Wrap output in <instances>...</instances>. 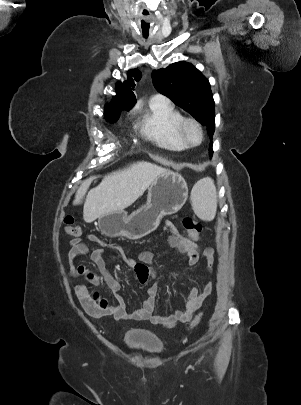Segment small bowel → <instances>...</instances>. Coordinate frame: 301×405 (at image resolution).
Instances as JSON below:
<instances>
[{
    "label": "small bowel",
    "instance_id": "small-bowel-1",
    "mask_svg": "<svg viewBox=\"0 0 301 405\" xmlns=\"http://www.w3.org/2000/svg\"><path fill=\"white\" fill-rule=\"evenodd\" d=\"M165 226L169 231L168 245L182 254L189 265H195L199 261L201 255L206 259L210 266L213 265L214 250L212 248L201 249L198 243L192 241L190 236L185 237L181 235L170 220L165 221ZM85 238L88 241L97 244V248L91 253V258L99 271V275L93 274L86 266L76 263V259L79 256L85 255L89 252L87 245L79 237L72 238L69 242L71 248L69 251L68 272L71 276L82 275L95 285H104L116 299V303L109 306L106 313L108 315H113L116 320H125L128 318L134 320H149L153 324L171 328L178 323L189 321L193 314L201 307L203 301L212 292V282H208L201 289L194 287L191 289L187 297L186 305L183 309H178L170 315H154L153 311L155 308L156 297L159 292V285L158 283H155L149 288V297L144 301L143 305L132 312H128L127 305L119 294L121 288L120 283L107 270L104 257L106 249L119 250V247L115 244L103 241L93 234H88ZM121 258L134 270L137 279L141 284H146L150 278H157V272L149 267L154 258L151 252H140L138 255V261L126 254H121ZM76 294L79 299L83 301L89 294V290L84 285H80L76 287Z\"/></svg>",
    "mask_w": 301,
    "mask_h": 405
}]
</instances>
